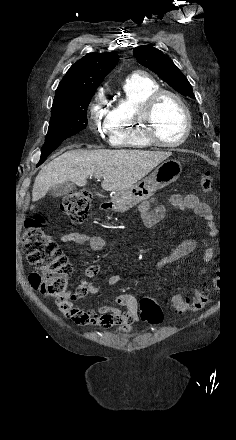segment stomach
I'll return each mask as SVG.
<instances>
[{
    "mask_svg": "<svg viewBox=\"0 0 236 440\" xmlns=\"http://www.w3.org/2000/svg\"><path fill=\"white\" fill-rule=\"evenodd\" d=\"M181 172L182 166L179 161L174 159L163 161L148 177L137 184L128 189L114 192L111 199L113 210L125 212L131 209L153 196L158 189L176 181Z\"/></svg>",
    "mask_w": 236,
    "mask_h": 440,
    "instance_id": "obj_1",
    "label": "stomach"
}]
</instances>
